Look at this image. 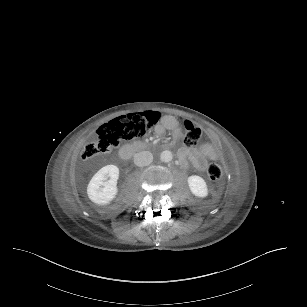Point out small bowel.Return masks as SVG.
Instances as JSON below:
<instances>
[{
	"instance_id": "obj_1",
	"label": "small bowel",
	"mask_w": 307,
	"mask_h": 307,
	"mask_svg": "<svg viewBox=\"0 0 307 307\" xmlns=\"http://www.w3.org/2000/svg\"><path fill=\"white\" fill-rule=\"evenodd\" d=\"M167 128L172 133V144L178 143L182 136L179 124L174 120H170L167 122ZM179 155L184 164H187L189 160L200 171L206 169L209 161H216L218 159L217 149L209 142L203 143L197 148H181Z\"/></svg>"
}]
</instances>
